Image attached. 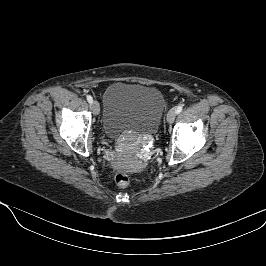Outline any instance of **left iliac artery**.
Masks as SVG:
<instances>
[{
    "label": "left iliac artery",
    "mask_w": 266,
    "mask_h": 266,
    "mask_svg": "<svg viewBox=\"0 0 266 266\" xmlns=\"http://www.w3.org/2000/svg\"><path fill=\"white\" fill-rule=\"evenodd\" d=\"M182 109H183L182 105L177 106V108L175 109L176 114H179L182 111Z\"/></svg>",
    "instance_id": "44dca946"
}]
</instances>
